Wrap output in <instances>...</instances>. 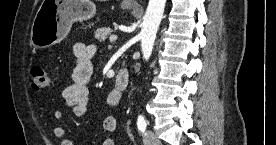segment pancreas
I'll return each mask as SVG.
<instances>
[{
	"label": "pancreas",
	"mask_w": 276,
	"mask_h": 145,
	"mask_svg": "<svg viewBox=\"0 0 276 145\" xmlns=\"http://www.w3.org/2000/svg\"><path fill=\"white\" fill-rule=\"evenodd\" d=\"M112 32L113 30L110 27H103L98 29L94 33V36H95V39L102 42V41H105Z\"/></svg>",
	"instance_id": "pancreas-1"
}]
</instances>
